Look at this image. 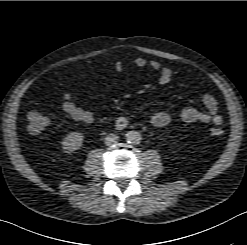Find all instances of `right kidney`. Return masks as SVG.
Wrapping results in <instances>:
<instances>
[{"label":"right kidney","mask_w":247,"mask_h":245,"mask_svg":"<svg viewBox=\"0 0 247 245\" xmlns=\"http://www.w3.org/2000/svg\"><path fill=\"white\" fill-rule=\"evenodd\" d=\"M84 136L80 132L69 133L62 141L63 150L72 153L81 148Z\"/></svg>","instance_id":"obj_1"}]
</instances>
